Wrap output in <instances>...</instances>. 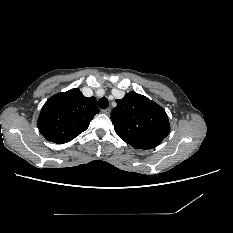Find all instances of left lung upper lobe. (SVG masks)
Segmentation results:
<instances>
[{
  "label": "left lung upper lobe",
  "instance_id": "obj_1",
  "mask_svg": "<svg viewBox=\"0 0 233 233\" xmlns=\"http://www.w3.org/2000/svg\"><path fill=\"white\" fill-rule=\"evenodd\" d=\"M116 102L110 117L115 132L133 148H154L169 134L165 110L147 97L129 92Z\"/></svg>",
  "mask_w": 233,
  "mask_h": 233
}]
</instances>
